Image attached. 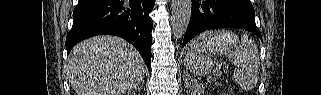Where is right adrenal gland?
Wrapping results in <instances>:
<instances>
[{"label": "right adrenal gland", "mask_w": 321, "mask_h": 95, "mask_svg": "<svg viewBox=\"0 0 321 95\" xmlns=\"http://www.w3.org/2000/svg\"><path fill=\"white\" fill-rule=\"evenodd\" d=\"M143 86H144V80H142V81H141V83H140V84L135 88V90H137V89H138V90H140V91H141V90H142V88H143Z\"/></svg>", "instance_id": "1"}]
</instances>
